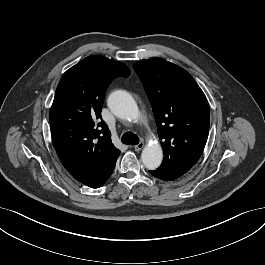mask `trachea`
<instances>
[{"instance_id": "3493384b", "label": "trachea", "mask_w": 265, "mask_h": 265, "mask_svg": "<svg viewBox=\"0 0 265 265\" xmlns=\"http://www.w3.org/2000/svg\"><path fill=\"white\" fill-rule=\"evenodd\" d=\"M122 143L127 145H137L139 143V137L132 132H127L122 135Z\"/></svg>"}]
</instances>
